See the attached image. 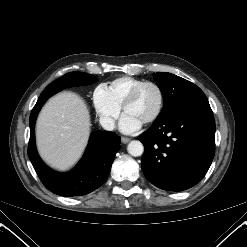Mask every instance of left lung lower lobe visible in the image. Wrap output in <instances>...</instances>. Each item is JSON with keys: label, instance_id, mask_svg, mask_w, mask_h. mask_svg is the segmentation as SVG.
Returning a JSON list of instances; mask_svg holds the SVG:
<instances>
[{"label": "left lung lower lobe", "instance_id": "left-lung-lower-lobe-1", "mask_svg": "<svg viewBox=\"0 0 247 247\" xmlns=\"http://www.w3.org/2000/svg\"><path fill=\"white\" fill-rule=\"evenodd\" d=\"M145 177L168 191L196 185L208 171L215 152V122L205 97L187 100L159 117L139 136Z\"/></svg>", "mask_w": 247, "mask_h": 247}]
</instances>
